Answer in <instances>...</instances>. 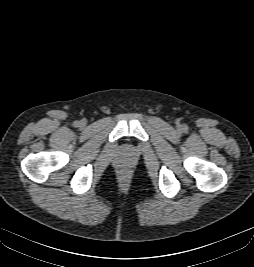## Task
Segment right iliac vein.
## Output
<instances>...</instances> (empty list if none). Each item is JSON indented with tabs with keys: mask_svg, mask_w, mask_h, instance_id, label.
Here are the masks:
<instances>
[{
	"mask_svg": "<svg viewBox=\"0 0 254 267\" xmlns=\"http://www.w3.org/2000/svg\"><path fill=\"white\" fill-rule=\"evenodd\" d=\"M80 125H81V126H85V125H86L85 121H82V122L80 123Z\"/></svg>",
	"mask_w": 254,
	"mask_h": 267,
	"instance_id": "obj_1",
	"label": "right iliac vein"
}]
</instances>
